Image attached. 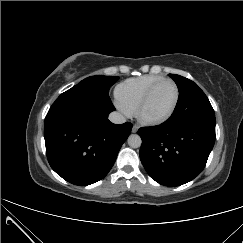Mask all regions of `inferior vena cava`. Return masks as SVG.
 <instances>
[{
  "instance_id": "inferior-vena-cava-1",
  "label": "inferior vena cava",
  "mask_w": 243,
  "mask_h": 243,
  "mask_svg": "<svg viewBox=\"0 0 243 243\" xmlns=\"http://www.w3.org/2000/svg\"><path fill=\"white\" fill-rule=\"evenodd\" d=\"M109 120L115 124H122V123L126 122L125 117L119 112L110 113Z\"/></svg>"
}]
</instances>
